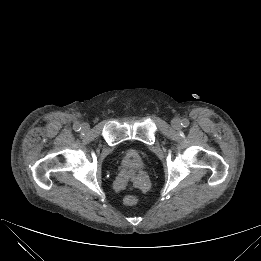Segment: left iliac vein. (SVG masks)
<instances>
[{"mask_svg":"<svg viewBox=\"0 0 261 261\" xmlns=\"http://www.w3.org/2000/svg\"><path fill=\"white\" fill-rule=\"evenodd\" d=\"M172 127L176 130H179L181 128V121L178 118H174L171 122Z\"/></svg>","mask_w":261,"mask_h":261,"instance_id":"4c4485c4","label":"left iliac vein"}]
</instances>
